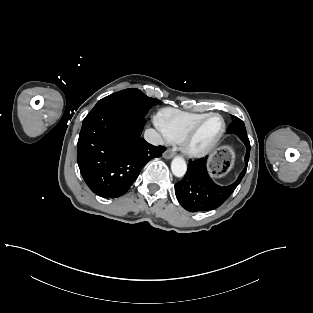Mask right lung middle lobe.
I'll use <instances>...</instances> for the list:
<instances>
[{"label": "right lung middle lobe", "instance_id": "obj_1", "mask_svg": "<svg viewBox=\"0 0 313 313\" xmlns=\"http://www.w3.org/2000/svg\"><path fill=\"white\" fill-rule=\"evenodd\" d=\"M158 102L157 99L146 96L138 89L129 88L104 97L98 101L92 110L105 106H118L127 108L138 116L144 117L148 110Z\"/></svg>", "mask_w": 313, "mask_h": 313}]
</instances>
